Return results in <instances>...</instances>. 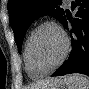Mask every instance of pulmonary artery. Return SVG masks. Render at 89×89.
<instances>
[{
	"label": "pulmonary artery",
	"mask_w": 89,
	"mask_h": 89,
	"mask_svg": "<svg viewBox=\"0 0 89 89\" xmlns=\"http://www.w3.org/2000/svg\"><path fill=\"white\" fill-rule=\"evenodd\" d=\"M64 2H65L66 4H68V3H69V0H64Z\"/></svg>",
	"instance_id": "e3ab8cb5"
}]
</instances>
